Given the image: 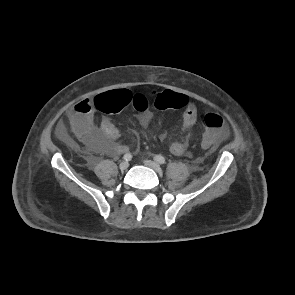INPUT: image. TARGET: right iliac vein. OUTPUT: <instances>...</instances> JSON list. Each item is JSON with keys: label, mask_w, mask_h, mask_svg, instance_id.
<instances>
[{"label": "right iliac vein", "mask_w": 295, "mask_h": 295, "mask_svg": "<svg viewBox=\"0 0 295 295\" xmlns=\"http://www.w3.org/2000/svg\"><path fill=\"white\" fill-rule=\"evenodd\" d=\"M128 166H129V163L127 161H123L120 163L119 168H120V170L123 171V170H126L128 168Z\"/></svg>", "instance_id": "63e3f726"}]
</instances>
